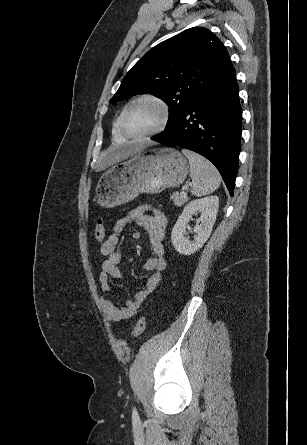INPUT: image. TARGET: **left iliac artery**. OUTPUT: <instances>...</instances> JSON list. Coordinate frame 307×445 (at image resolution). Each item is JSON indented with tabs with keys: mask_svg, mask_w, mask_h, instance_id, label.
Masks as SVG:
<instances>
[{
	"mask_svg": "<svg viewBox=\"0 0 307 445\" xmlns=\"http://www.w3.org/2000/svg\"><path fill=\"white\" fill-rule=\"evenodd\" d=\"M132 418L134 422H138L140 420L136 408H133L132 410Z\"/></svg>",
	"mask_w": 307,
	"mask_h": 445,
	"instance_id": "obj_1",
	"label": "left iliac artery"
}]
</instances>
